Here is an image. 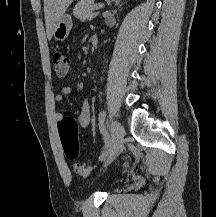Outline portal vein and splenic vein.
Here are the masks:
<instances>
[{"mask_svg": "<svg viewBox=\"0 0 216 217\" xmlns=\"http://www.w3.org/2000/svg\"><path fill=\"white\" fill-rule=\"evenodd\" d=\"M101 8H103V5H102V4L94 5V6H93V9H94V10H98V9H101Z\"/></svg>", "mask_w": 216, "mask_h": 217, "instance_id": "obj_1", "label": "portal vein and splenic vein"}]
</instances>
